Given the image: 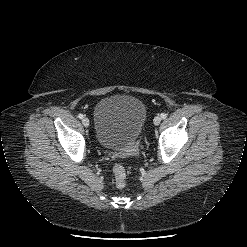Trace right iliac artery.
<instances>
[{"label":"right iliac artery","mask_w":247,"mask_h":247,"mask_svg":"<svg viewBox=\"0 0 247 247\" xmlns=\"http://www.w3.org/2000/svg\"><path fill=\"white\" fill-rule=\"evenodd\" d=\"M78 118H79V119H82V118H83V115H82V114H79V115H78Z\"/></svg>","instance_id":"1"}]
</instances>
